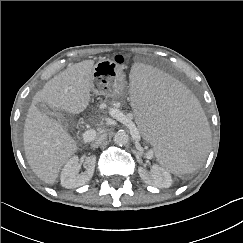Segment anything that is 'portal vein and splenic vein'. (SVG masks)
<instances>
[{
    "instance_id": "portal-vein-and-splenic-vein-1",
    "label": "portal vein and splenic vein",
    "mask_w": 243,
    "mask_h": 243,
    "mask_svg": "<svg viewBox=\"0 0 243 243\" xmlns=\"http://www.w3.org/2000/svg\"><path fill=\"white\" fill-rule=\"evenodd\" d=\"M111 116L124 125H126L130 132L137 138L139 137V131L137 127L135 126L134 122L132 121V116L131 115H124L121 111L114 109L110 112ZM95 132L93 130H87L83 133V138L84 140L88 141L94 137ZM147 156L151 158L153 156V151L150 150L147 153Z\"/></svg>"
}]
</instances>
